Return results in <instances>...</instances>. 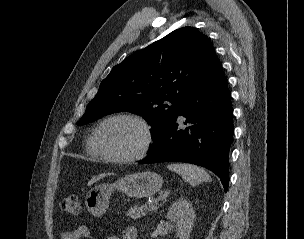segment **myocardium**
I'll use <instances>...</instances> for the list:
<instances>
[{
    "mask_svg": "<svg viewBox=\"0 0 304 239\" xmlns=\"http://www.w3.org/2000/svg\"><path fill=\"white\" fill-rule=\"evenodd\" d=\"M119 119H127V120L134 121L137 124H139L141 126V128L143 129V132H144L143 144L140 147V149L134 154H131L128 156L112 155V154L104 151L99 143L98 136H99V132L102 129V127L111 121L119 120ZM91 139H92V144H93L95 151L99 154V156L101 158H103L106 161L112 162V163L128 164V163H133L135 161L141 160L142 158H144L147 155V153L149 152V150L152 146L154 137H153L152 126L144 117H142L141 115H138L136 113L122 112V113L110 115V116L106 117L105 119H103L94 129Z\"/></svg>",
    "mask_w": 304,
    "mask_h": 239,
    "instance_id": "1",
    "label": "myocardium"
}]
</instances>
